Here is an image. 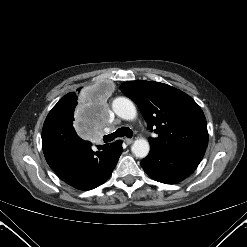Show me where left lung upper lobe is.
I'll return each mask as SVG.
<instances>
[{
  "mask_svg": "<svg viewBox=\"0 0 247 247\" xmlns=\"http://www.w3.org/2000/svg\"><path fill=\"white\" fill-rule=\"evenodd\" d=\"M120 89L137 104L148 129L158 134L149 138L150 146L207 148L205 116L189 95L170 85L144 80L125 82Z\"/></svg>",
  "mask_w": 247,
  "mask_h": 247,
  "instance_id": "5c2ea615",
  "label": "left lung upper lobe"
}]
</instances>
